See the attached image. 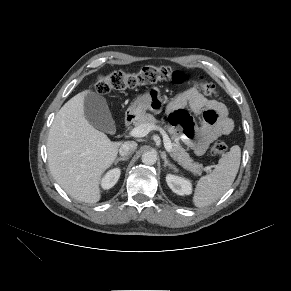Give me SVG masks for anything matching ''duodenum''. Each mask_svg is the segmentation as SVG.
I'll use <instances>...</instances> for the list:
<instances>
[{"instance_id": "obj_1", "label": "duodenum", "mask_w": 291, "mask_h": 291, "mask_svg": "<svg viewBox=\"0 0 291 291\" xmlns=\"http://www.w3.org/2000/svg\"><path fill=\"white\" fill-rule=\"evenodd\" d=\"M136 119V114L129 112L125 117V126L130 127Z\"/></svg>"}]
</instances>
